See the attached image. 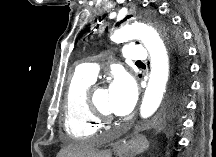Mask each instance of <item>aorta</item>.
Listing matches in <instances>:
<instances>
[{"label": "aorta", "mask_w": 216, "mask_h": 157, "mask_svg": "<svg viewBox=\"0 0 216 157\" xmlns=\"http://www.w3.org/2000/svg\"><path fill=\"white\" fill-rule=\"evenodd\" d=\"M111 39L117 42L139 39L150 54L151 72L140 107L141 118L147 119L157 111L166 92L170 67L166 46L152 26L139 22L122 25ZM118 155L122 157L128 154L120 150Z\"/></svg>", "instance_id": "762f6f07"}]
</instances>
